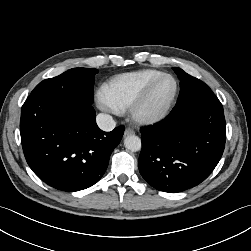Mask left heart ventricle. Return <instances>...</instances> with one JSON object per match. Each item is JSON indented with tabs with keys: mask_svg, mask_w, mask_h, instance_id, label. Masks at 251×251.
<instances>
[{
	"mask_svg": "<svg viewBox=\"0 0 251 251\" xmlns=\"http://www.w3.org/2000/svg\"><path fill=\"white\" fill-rule=\"evenodd\" d=\"M174 91V82L170 78L162 80L152 91L146 105L145 111L154 112L162 108Z\"/></svg>",
	"mask_w": 251,
	"mask_h": 251,
	"instance_id": "1",
	"label": "left heart ventricle"
}]
</instances>
